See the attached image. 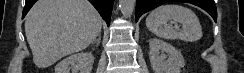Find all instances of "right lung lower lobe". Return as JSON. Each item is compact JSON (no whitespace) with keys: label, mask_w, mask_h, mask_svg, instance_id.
<instances>
[{"label":"right lung lower lobe","mask_w":244,"mask_h":73,"mask_svg":"<svg viewBox=\"0 0 244 73\" xmlns=\"http://www.w3.org/2000/svg\"><path fill=\"white\" fill-rule=\"evenodd\" d=\"M37 0H25V7L23 10L22 18L28 13L30 8L34 5ZM92 3V5L98 10L100 15L106 21L107 25L110 24L112 6L114 0H88Z\"/></svg>","instance_id":"98d812e1"}]
</instances>
